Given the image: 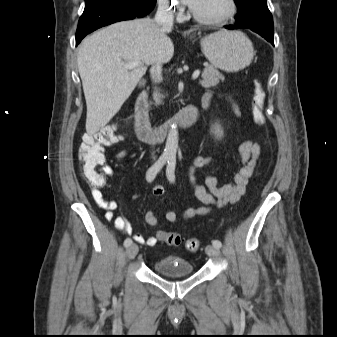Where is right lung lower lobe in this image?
I'll return each instance as SVG.
<instances>
[{
  "mask_svg": "<svg viewBox=\"0 0 337 337\" xmlns=\"http://www.w3.org/2000/svg\"><path fill=\"white\" fill-rule=\"evenodd\" d=\"M155 4L156 0H85V9L76 31V45L98 28L144 17L153 10Z\"/></svg>",
  "mask_w": 337,
  "mask_h": 337,
  "instance_id": "right-lung-lower-lobe-1",
  "label": "right lung lower lobe"
}]
</instances>
